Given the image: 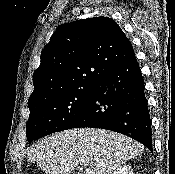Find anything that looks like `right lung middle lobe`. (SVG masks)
Instances as JSON below:
<instances>
[{
	"instance_id": "dd1d6c3e",
	"label": "right lung middle lobe",
	"mask_w": 175,
	"mask_h": 174,
	"mask_svg": "<svg viewBox=\"0 0 175 174\" xmlns=\"http://www.w3.org/2000/svg\"><path fill=\"white\" fill-rule=\"evenodd\" d=\"M93 87L68 90L28 105V142L65 130L86 107Z\"/></svg>"
}]
</instances>
